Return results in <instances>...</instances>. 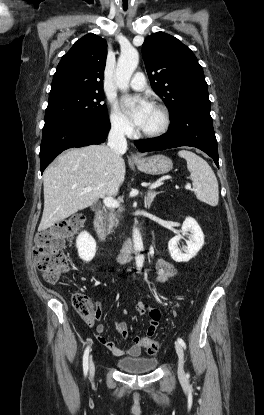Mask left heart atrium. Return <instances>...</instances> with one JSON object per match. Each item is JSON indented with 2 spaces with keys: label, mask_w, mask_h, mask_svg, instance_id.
<instances>
[{
  "label": "left heart atrium",
  "mask_w": 264,
  "mask_h": 415,
  "mask_svg": "<svg viewBox=\"0 0 264 415\" xmlns=\"http://www.w3.org/2000/svg\"><path fill=\"white\" fill-rule=\"evenodd\" d=\"M136 102V106L131 108V104ZM122 105L129 115L130 119L134 123V125L140 128L148 115L149 111L151 110L152 105L143 98L133 99L126 97L122 101Z\"/></svg>",
  "instance_id": "left-heart-atrium-1"
}]
</instances>
